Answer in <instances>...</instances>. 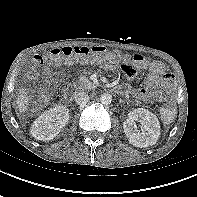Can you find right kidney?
I'll use <instances>...</instances> for the list:
<instances>
[{"mask_svg": "<svg viewBox=\"0 0 197 197\" xmlns=\"http://www.w3.org/2000/svg\"><path fill=\"white\" fill-rule=\"evenodd\" d=\"M69 120V109L57 105L44 111L32 124V136L41 141H50L56 137Z\"/></svg>", "mask_w": 197, "mask_h": 197, "instance_id": "ca27d5eb", "label": "right kidney"}]
</instances>
